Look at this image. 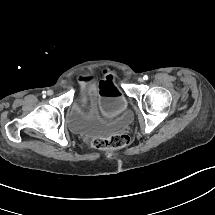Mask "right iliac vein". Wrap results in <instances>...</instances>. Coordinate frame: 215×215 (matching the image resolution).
I'll use <instances>...</instances> for the list:
<instances>
[{"label":"right iliac vein","mask_w":215,"mask_h":215,"mask_svg":"<svg viewBox=\"0 0 215 215\" xmlns=\"http://www.w3.org/2000/svg\"><path fill=\"white\" fill-rule=\"evenodd\" d=\"M47 95H49V96L53 95V91L52 90H48L47 91Z\"/></svg>","instance_id":"1"}]
</instances>
